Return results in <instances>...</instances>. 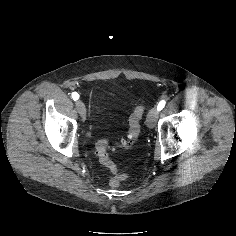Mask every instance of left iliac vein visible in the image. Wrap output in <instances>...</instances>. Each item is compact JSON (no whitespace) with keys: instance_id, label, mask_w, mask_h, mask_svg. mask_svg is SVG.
Here are the masks:
<instances>
[{"instance_id":"left-iliac-vein-1","label":"left iliac vein","mask_w":236,"mask_h":236,"mask_svg":"<svg viewBox=\"0 0 236 236\" xmlns=\"http://www.w3.org/2000/svg\"><path fill=\"white\" fill-rule=\"evenodd\" d=\"M158 115H159V110L157 108H152L148 112L146 124L149 128H153L155 126Z\"/></svg>"}]
</instances>
